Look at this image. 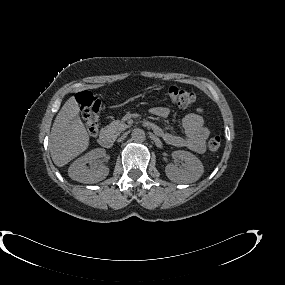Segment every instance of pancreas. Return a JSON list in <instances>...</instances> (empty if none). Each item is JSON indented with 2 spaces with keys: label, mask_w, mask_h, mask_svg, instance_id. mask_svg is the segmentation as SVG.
Segmentation results:
<instances>
[{
  "label": "pancreas",
  "mask_w": 285,
  "mask_h": 285,
  "mask_svg": "<svg viewBox=\"0 0 285 285\" xmlns=\"http://www.w3.org/2000/svg\"><path fill=\"white\" fill-rule=\"evenodd\" d=\"M127 125L122 120H115L104 128V131L112 135H118L125 130Z\"/></svg>",
  "instance_id": "cf45deb5"
}]
</instances>
